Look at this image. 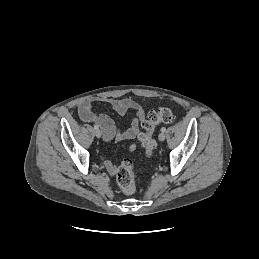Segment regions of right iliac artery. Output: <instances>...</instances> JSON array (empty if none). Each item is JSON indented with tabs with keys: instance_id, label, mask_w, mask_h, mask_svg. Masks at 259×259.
<instances>
[{
	"instance_id": "obj_1",
	"label": "right iliac artery",
	"mask_w": 259,
	"mask_h": 259,
	"mask_svg": "<svg viewBox=\"0 0 259 259\" xmlns=\"http://www.w3.org/2000/svg\"><path fill=\"white\" fill-rule=\"evenodd\" d=\"M94 129H95V130H98L99 127H98L97 125H94Z\"/></svg>"
}]
</instances>
